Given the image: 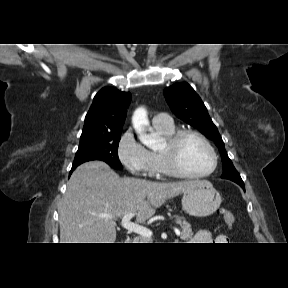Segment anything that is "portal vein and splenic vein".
Instances as JSON below:
<instances>
[{"mask_svg": "<svg viewBox=\"0 0 288 288\" xmlns=\"http://www.w3.org/2000/svg\"><path fill=\"white\" fill-rule=\"evenodd\" d=\"M135 216V212L127 213L123 216L121 225L123 228L127 229L130 232L137 233L143 237H151L152 231L142 225H139L137 223L131 222L132 217ZM107 218H114L112 216H107ZM174 232L177 236L180 235V231L178 229H174Z\"/></svg>", "mask_w": 288, "mask_h": 288, "instance_id": "1", "label": "portal vein and splenic vein"}]
</instances>
